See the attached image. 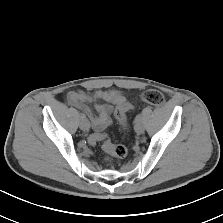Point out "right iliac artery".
<instances>
[{
    "mask_svg": "<svg viewBox=\"0 0 223 223\" xmlns=\"http://www.w3.org/2000/svg\"><path fill=\"white\" fill-rule=\"evenodd\" d=\"M80 118L81 119L85 118V115L84 114H81Z\"/></svg>",
    "mask_w": 223,
    "mask_h": 223,
    "instance_id": "1",
    "label": "right iliac artery"
}]
</instances>
